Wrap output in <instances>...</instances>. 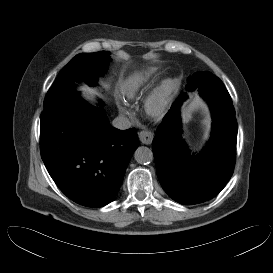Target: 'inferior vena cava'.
I'll use <instances>...</instances> for the list:
<instances>
[{
  "instance_id": "1",
  "label": "inferior vena cava",
  "mask_w": 273,
  "mask_h": 273,
  "mask_svg": "<svg viewBox=\"0 0 273 273\" xmlns=\"http://www.w3.org/2000/svg\"><path fill=\"white\" fill-rule=\"evenodd\" d=\"M112 125L117 129L126 130L131 127V122L127 117L118 116L112 121Z\"/></svg>"
}]
</instances>
